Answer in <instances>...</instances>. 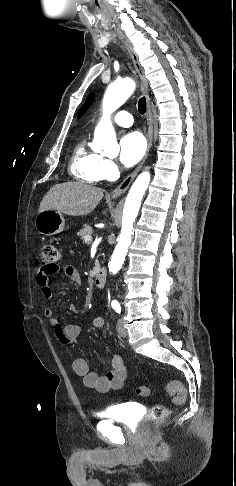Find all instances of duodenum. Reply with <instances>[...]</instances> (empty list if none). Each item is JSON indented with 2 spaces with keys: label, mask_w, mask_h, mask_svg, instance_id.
Returning a JSON list of instances; mask_svg holds the SVG:
<instances>
[{
  "label": "duodenum",
  "mask_w": 236,
  "mask_h": 486,
  "mask_svg": "<svg viewBox=\"0 0 236 486\" xmlns=\"http://www.w3.org/2000/svg\"><path fill=\"white\" fill-rule=\"evenodd\" d=\"M106 279H107L106 271L104 269H99L95 273V277H94V283L96 287L103 288L106 284Z\"/></svg>",
  "instance_id": "obj_1"
}]
</instances>
